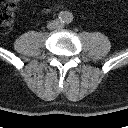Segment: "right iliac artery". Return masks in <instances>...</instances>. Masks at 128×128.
Returning a JSON list of instances; mask_svg holds the SVG:
<instances>
[{
    "instance_id": "obj_1",
    "label": "right iliac artery",
    "mask_w": 128,
    "mask_h": 128,
    "mask_svg": "<svg viewBox=\"0 0 128 128\" xmlns=\"http://www.w3.org/2000/svg\"><path fill=\"white\" fill-rule=\"evenodd\" d=\"M58 18L61 22H64L66 20V14L64 12H60L58 14Z\"/></svg>"
}]
</instances>
